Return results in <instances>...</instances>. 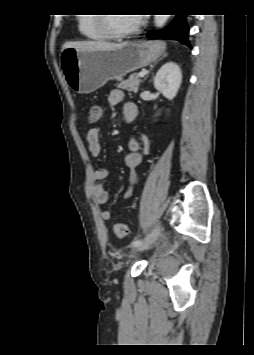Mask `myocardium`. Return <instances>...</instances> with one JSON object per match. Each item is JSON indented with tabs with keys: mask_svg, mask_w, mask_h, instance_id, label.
Instances as JSON below:
<instances>
[{
	"mask_svg": "<svg viewBox=\"0 0 254 355\" xmlns=\"http://www.w3.org/2000/svg\"><path fill=\"white\" fill-rule=\"evenodd\" d=\"M100 16L97 17V26L99 31L105 36V38L113 39V40H120L131 37L135 35L139 31V24L130 30L124 32H113L108 24L109 14H99Z\"/></svg>",
	"mask_w": 254,
	"mask_h": 355,
	"instance_id": "f54148a6",
	"label": "myocardium"
}]
</instances>
